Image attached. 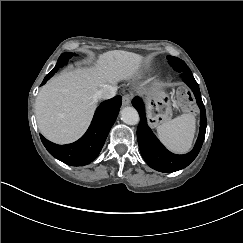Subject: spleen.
Segmentation results:
<instances>
[{"mask_svg": "<svg viewBox=\"0 0 243 243\" xmlns=\"http://www.w3.org/2000/svg\"><path fill=\"white\" fill-rule=\"evenodd\" d=\"M194 130V117L187 113L168 119L158 127L160 139L170 150L177 153L187 152L191 148Z\"/></svg>", "mask_w": 243, "mask_h": 243, "instance_id": "1", "label": "spleen"}]
</instances>
